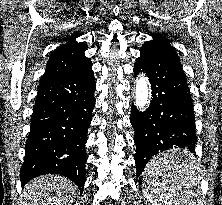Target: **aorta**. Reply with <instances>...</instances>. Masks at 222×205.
I'll list each match as a JSON object with an SVG mask.
<instances>
[{
  "label": "aorta",
  "instance_id": "aorta-1",
  "mask_svg": "<svg viewBox=\"0 0 222 205\" xmlns=\"http://www.w3.org/2000/svg\"><path fill=\"white\" fill-rule=\"evenodd\" d=\"M131 95L135 105L139 111H144L149 104V85L146 76L139 74L134 86L132 87Z\"/></svg>",
  "mask_w": 222,
  "mask_h": 205
}]
</instances>
